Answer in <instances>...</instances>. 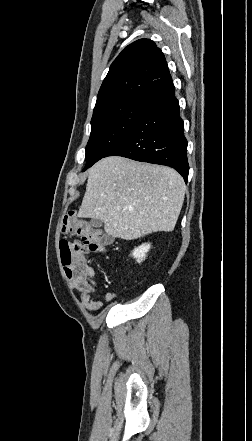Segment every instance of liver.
Instances as JSON below:
<instances>
[{
  "mask_svg": "<svg viewBox=\"0 0 252 441\" xmlns=\"http://www.w3.org/2000/svg\"><path fill=\"white\" fill-rule=\"evenodd\" d=\"M174 169L120 156L106 157L90 170L79 218H99L107 234L124 240L170 232L185 196Z\"/></svg>",
  "mask_w": 252,
  "mask_h": 441,
  "instance_id": "liver-1",
  "label": "liver"
}]
</instances>
